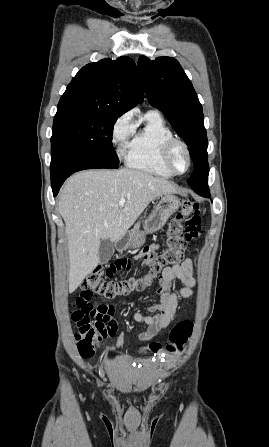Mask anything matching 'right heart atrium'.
Segmentation results:
<instances>
[{"label":"right heart atrium","mask_w":269,"mask_h":447,"mask_svg":"<svg viewBox=\"0 0 269 447\" xmlns=\"http://www.w3.org/2000/svg\"><path fill=\"white\" fill-rule=\"evenodd\" d=\"M134 130L135 124L131 112L123 113L113 123L111 129V143L119 157L124 155Z\"/></svg>","instance_id":"obj_1"}]
</instances>
